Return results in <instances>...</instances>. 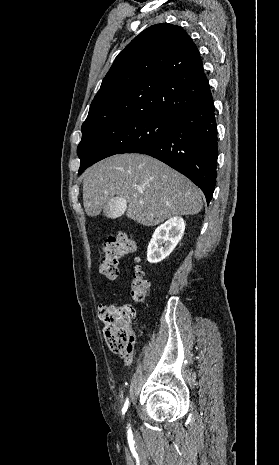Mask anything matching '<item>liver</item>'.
Segmentation results:
<instances>
[{
    "instance_id": "6515ba94",
    "label": "liver",
    "mask_w": 279,
    "mask_h": 465,
    "mask_svg": "<svg viewBox=\"0 0 279 465\" xmlns=\"http://www.w3.org/2000/svg\"><path fill=\"white\" fill-rule=\"evenodd\" d=\"M115 195L126 201V216L144 226L198 214L203 205L202 191L187 177L143 154L115 155L87 169L83 205L88 216H98Z\"/></svg>"
}]
</instances>
